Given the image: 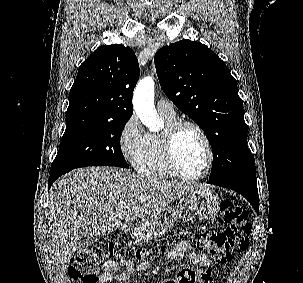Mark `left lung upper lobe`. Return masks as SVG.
<instances>
[{
  "label": "left lung upper lobe",
  "instance_id": "1",
  "mask_svg": "<svg viewBox=\"0 0 303 283\" xmlns=\"http://www.w3.org/2000/svg\"><path fill=\"white\" fill-rule=\"evenodd\" d=\"M161 88L204 131L213 150L209 180L256 174L237 82L206 45L183 39L157 51Z\"/></svg>",
  "mask_w": 303,
  "mask_h": 283
}]
</instances>
